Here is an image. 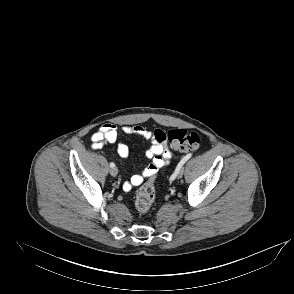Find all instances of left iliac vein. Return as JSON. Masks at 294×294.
<instances>
[{"label":"left iliac vein","mask_w":294,"mask_h":294,"mask_svg":"<svg viewBox=\"0 0 294 294\" xmlns=\"http://www.w3.org/2000/svg\"><path fill=\"white\" fill-rule=\"evenodd\" d=\"M183 172H184V169L182 168L178 173H177V175H176V177L175 178H181L182 176H183Z\"/></svg>","instance_id":"4c4485c4"}]
</instances>
